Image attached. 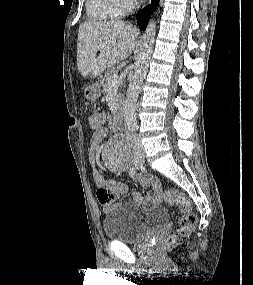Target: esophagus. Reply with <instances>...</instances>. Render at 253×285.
Instances as JSON below:
<instances>
[{
    "instance_id": "1",
    "label": "esophagus",
    "mask_w": 253,
    "mask_h": 285,
    "mask_svg": "<svg viewBox=\"0 0 253 285\" xmlns=\"http://www.w3.org/2000/svg\"><path fill=\"white\" fill-rule=\"evenodd\" d=\"M151 0H146V4L150 3Z\"/></svg>"
}]
</instances>
